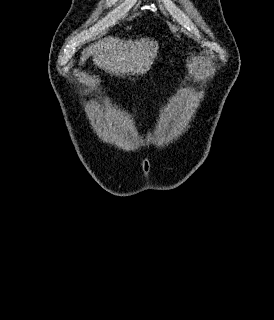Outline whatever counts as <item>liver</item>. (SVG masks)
I'll return each mask as SVG.
<instances>
[{
  "instance_id": "6515ba94",
  "label": "liver",
  "mask_w": 274,
  "mask_h": 320,
  "mask_svg": "<svg viewBox=\"0 0 274 320\" xmlns=\"http://www.w3.org/2000/svg\"><path fill=\"white\" fill-rule=\"evenodd\" d=\"M159 46L149 38L141 40H120V38H102L81 52L79 66L90 56L97 68L115 76H142L150 70L156 58Z\"/></svg>"
}]
</instances>
